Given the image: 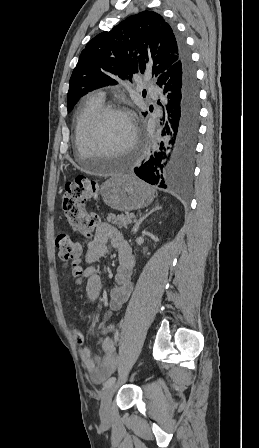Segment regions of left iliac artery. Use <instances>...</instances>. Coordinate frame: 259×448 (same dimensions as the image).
Returning <instances> with one entry per match:
<instances>
[{
    "label": "left iliac artery",
    "mask_w": 259,
    "mask_h": 448,
    "mask_svg": "<svg viewBox=\"0 0 259 448\" xmlns=\"http://www.w3.org/2000/svg\"><path fill=\"white\" fill-rule=\"evenodd\" d=\"M118 341H119V330H116L115 333H114V342H115V344H117ZM115 380H116L115 377H111V378H109V379L105 382V384H104V388H107V387L111 386L112 384H114V383H115Z\"/></svg>",
    "instance_id": "1"
}]
</instances>
